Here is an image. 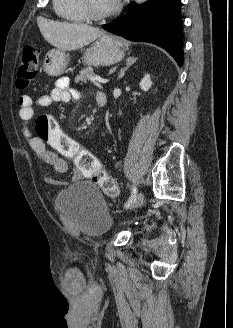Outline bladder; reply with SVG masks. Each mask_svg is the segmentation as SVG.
Returning <instances> with one entry per match:
<instances>
[{
	"instance_id": "obj_1",
	"label": "bladder",
	"mask_w": 233,
	"mask_h": 328,
	"mask_svg": "<svg viewBox=\"0 0 233 328\" xmlns=\"http://www.w3.org/2000/svg\"><path fill=\"white\" fill-rule=\"evenodd\" d=\"M55 206L88 237L101 236L112 226V217L102 193L88 181L74 183L59 192Z\"/></svg>"
}]
</instances>
